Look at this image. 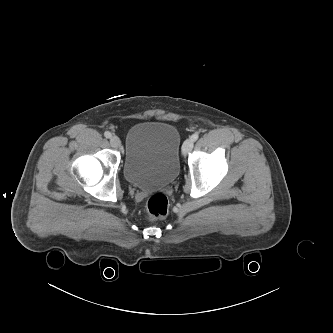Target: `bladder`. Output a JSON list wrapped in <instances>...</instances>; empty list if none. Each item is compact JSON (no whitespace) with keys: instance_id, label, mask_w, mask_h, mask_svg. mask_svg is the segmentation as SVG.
<instances>
[{"instance_id":"1","label":"bladder","mask_w":333,"mask_h":333,"mask_svg":"<svg viewBox=\"0 0 333 333\" xmlns=\"http://www.w3.org/2000/svg\"><path fill=\"white\" fill-rule=\"evenodd\" d=\"M181 135L177 126L163 121L133 125L126 135L123 173L143 190L170 185L180 169Z\"/></svg>"}]
</instances>
